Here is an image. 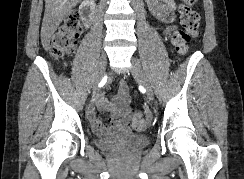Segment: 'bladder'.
Masks as SVG:
<instances>
[{"mask_svg": "<svg viewBox=\"0 0 244 179\" xmlns=\"http://www.w3.org/2000/svg\"><path fill=\"white\" fill-rule=\"evenodd\" d=\"M126 142V145H124L122 148H119L116 150L117 152L121 153H140L145 148L150 146V137H138L133 138L130 140H124Z\"/></svg>", "mask_w": 244, "mask_h": 179, "instance_id": "obj_1", "label": "bladder"}]
</instances>
